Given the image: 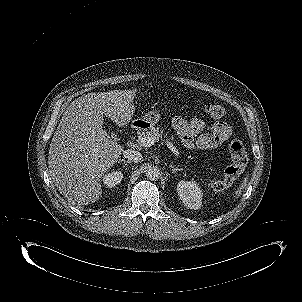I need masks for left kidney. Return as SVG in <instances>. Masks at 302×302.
Here are the masks:
<instances>
[{
    "instance_id": "left-kidney-1",
    "label": "left kidney",
    "mask_w": 302,
    "mask_h": 302,
    "mask_svg": "<svg viewBox=\"0 0 302 302\" xmlns=\"http://www.w3.org/2000/svg\"><path fill=\"white\" fill-rule=\"evenodd\" d=\"M177 192L187 208L197 210L201 207L203 193L197 182L180 180L177 184Z\"/></svg>"
}]
</instances>
